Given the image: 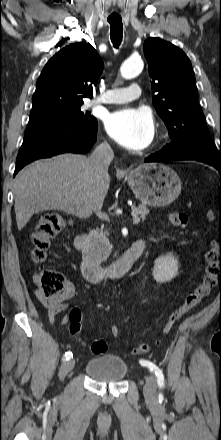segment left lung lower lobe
<instances>
[{
	"label": "left lung lower lobe",
	"instance_id": "1",
	"mask_svg": "<svg viewBox=\"0 0 221 440\" xmlns=\"http://www.w3.org/2000/svg\"><path fill=\"white\" fill-rule=\"evenodd\" d=\"M171 160H197V161L204 162L206 164L213 166L221 174V160L213 161V160H207V159H198V158L180 156V155H177V154H174V153L168 151L165 147L162 148V150H160L159 152L150 155L144 161L145 162H162V161H171Z\"/></svg>",
	"mask_w": 221,
	"mask_h": 440
}]
</instances>
